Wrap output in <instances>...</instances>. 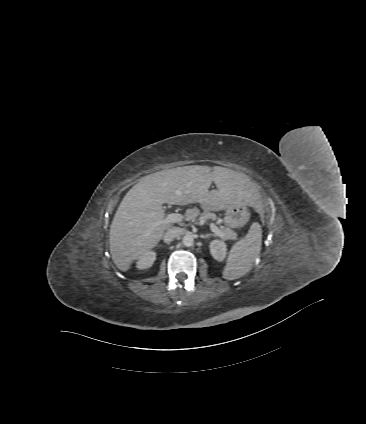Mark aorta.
Segmentation results:
<instances>
[{
	"label": "aorta",
	"mask_w": 366,
	"mask_h": 424,
	"mask_svg": "<svg viewBox=\"0 0 366 424\" xmlns=\"http://www.w3.org/2000/svg\"><path fill=\"white\" fill-rule=\"evenodd\" d=\"M182 242L184 244V246L186 247H191L194 245V238L192 234H186L183 239Z\"/></svg>",
	"instance_id": "762f6f07"
}]
</instances>
